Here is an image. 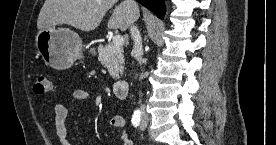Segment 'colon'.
<instances>
[{
  "instance_id": "5ec220e1",
  "label": "colon",
  "mask_w": 276,
  "mask_h": 145,
  "mask_svg": "<svg viewBox=\"0 0 276 145\" xmlns=\"http://www.w3.org/2000/svg\"><path fill=\"white\" fill-rule=\"evenodd\" d=\"M52 90V83L49 77L43 73L34 75L33 91L36 94H45Z\"/></svg>"
}]
</instances>
